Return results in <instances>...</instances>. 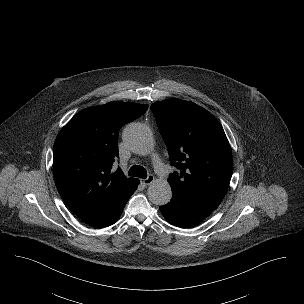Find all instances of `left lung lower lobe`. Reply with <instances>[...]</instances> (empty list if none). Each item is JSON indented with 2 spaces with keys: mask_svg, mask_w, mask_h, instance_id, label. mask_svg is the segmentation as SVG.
Returning a JSON list of instances; mask_svg holds the SVG:
<instances>
[{
  "mask_svg": "<svg viewBox=\"0 0 304 304\" xmlns=\"http://www.w3.org/2000/svg\"><path fill=\"white\" fill-rule=\"evenodd\" d=\"M159 209L170 224L178 227L196 225L213 210L177 194H173L171 201L166 205L160 206Z\"/></svg>",
  "mask_w": 304,
  "mask_h": 304,
  "instance_id": "0a47b994",
  "label": "left lung lower lobe"
}]
</instances>
